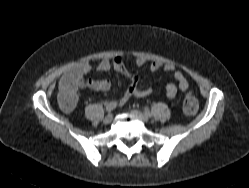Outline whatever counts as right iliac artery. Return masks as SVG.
<instances>
[{
    "instance_id": "right-iliac-artery-1",
    "label": "right iliac artery",
    "mask_w": 249,
    "mask_h": 188,
    "mask_svg": "<svg viewBox=\"0 0 249 188\" xmlns=\"http://www.w3.org/2000/svg\"><path fill=\"white\" fill-rule=\"evenodd\" d=\"M117 107V102H110L106 105V111L111 112Z\"/></svg>"
}]
</instances>
